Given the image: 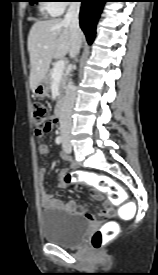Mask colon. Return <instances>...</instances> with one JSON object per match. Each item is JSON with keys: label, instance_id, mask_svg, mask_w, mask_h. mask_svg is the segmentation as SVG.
<instances>
[{"label": "colon", "instance_id": "1", "mask_svg": "<svg viewBox=\"0 0 158 275\" xmlns=\"http://www.w3.org/2000/svg\"><path fill=\"white\" fill-rule=\"evenodd\" d=\"M33 119L35 134L42 137L50 133L56 124L47 108L41 103L33 104ZM65 184H89L95 186L99 191L106 193L111 201H123L126 198L123 188L118 186L110 177L89 174L86 172L67 173L64 176ZM110 208L107 206L101 213L95 214V219H102L110 216ZM116 235V228L113 223H105L91 237L93 248H100L105 242Z\"/></svg>", "mask_w": 158, "mask_h": 275}]
</instances>
